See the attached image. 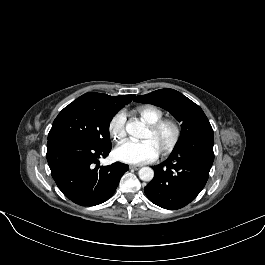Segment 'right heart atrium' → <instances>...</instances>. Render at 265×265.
<instances>
[{
	"instance_id": "1",
	"label": "right heart atrium",
	"mask_w": 265,
	"mask_h": 265,
	"mask_svg": "<svg viewBox=\"0 0 265 265\" xmlns=\"http://www.w3.org/2000/svg\"><path fill=\"white\" fill-rule=\"evenodd\" d=\"M125 114L121 111L115 113L108 122V133L114 140L125 137Z\"/></svg>"
}]
</instances>
